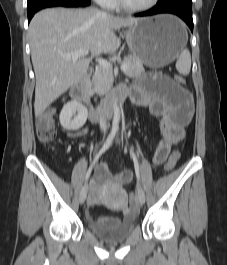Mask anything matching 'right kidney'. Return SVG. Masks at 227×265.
<instances>
[{
    "instance_id": "right-kidney-1",
    "label": "right kidney",
    "mask_w": 227,
    "mask_h": 265,
    "mask_svg": "<svg viewBox=\"0 0 227 265\" xmlns=\"http://www.w3.org/2000/svg\"><path fill=\"white\" fill-rule=\"evenodd\" d=\"M77 113V115H75ZM88 117L87 108L78 102H68L60 113L61 126L70 131L79 130L86 122Z\"/></svg>"
}]
</instances>
